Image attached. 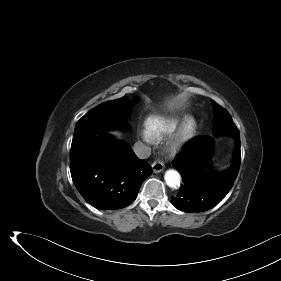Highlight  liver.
<instances>
[{
  "label": "liver",
  "instance_id": "liver-1",
  "mask_svg": "<svg viewBox=\"0 0 281 281\" xmlns=\"http://www.w3.org/2000/svg\"><path fill=\"white\" fill-rule=\"evenodd\" d=\"M184 100H185V95L179 94L178 96L170 99L167 102V106L169 109H174V108L180 107L182 105V103L184 102ZM112 134L119 136V133L116 131L112 132Z\"/></svg>",
  "mask_w": 281,
  "mask_h": 281
}]
</instances>
